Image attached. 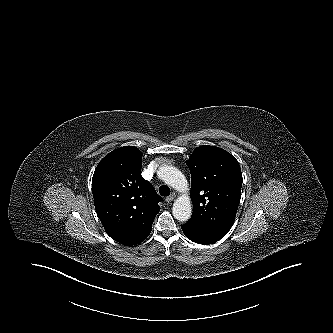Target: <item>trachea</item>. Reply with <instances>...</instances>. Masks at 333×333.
<instances>
[{"mask_svg": "<svg viewBox=\"0 0 333 333\" xmlns=\"http://www.w3.org/2000/svg\"><path fill=\"white\" fill-rule=\"evenodd\" d=\"M159 193L161 196H168L170 194V188L166 185H163L159 188Z\"/></svg>", "mask_w": 333, "mask_h": 333, "instance_id": "1", "label": "trachea"}]
</instances>
